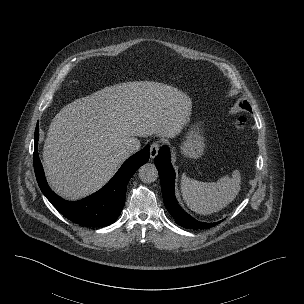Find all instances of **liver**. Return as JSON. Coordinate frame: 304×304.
Wrapping results in <instances>:
<instances>
[{
	"mask_svg": "<svg viewBox=\"0 0 304 304\" xmlns=\"http://www.w3.org/2000/svg\"><path fill=\"white\" fill-rule=\"evenodd\" d=\"M191 104L184 92L153 81L116 84L67 104L43 148L50 187L68 199L92 194L129 157L126 142L153 134L174 138L188 123Z\"/></svg>",
	"mask_w": 304,
	"mask_h": 304,
	"instance_id": "liver-1",
	"label": "liver"
}]
</instances>
